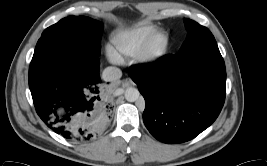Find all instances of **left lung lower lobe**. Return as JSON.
I'll use <instances>...</instances> for the list:
<instances>
[{
  "label": "left lung lower lobe",
  "mask_w": 267,
  "mask_h": 166,
  "mask_svg": "<svg viewBox=\"0 0 267 166\" xmlns=\"http://www.w3.org/2000/svg\"><path fill=\"white\" fill-rule=\"evenodd\" d=\"M129 75L145 99L146 128L164 143L195 138L216 120L224 104L226 69L214 38L157 63L133 65Z\"/></svg>",
  "instance_id": "1"
}]
</instances>
